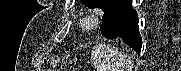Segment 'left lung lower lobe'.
<instances>
[{
	"label": "left lung lower lobe",
	"mask_w": 181,
	"mask_h": 71,
	"mask_svg": "<svg viewBox=\"0 0 181 71\" xmlns=\"http://www.w3.org/2000/svg\"><path fill=\"white\" fill-rule=\"evenodd\" d=\"M102 21L101 33L104 37L120 38L137 53L141 52L138 16L132 9L131 0H117L108 12L104 13Z\"/></svg>",
	"instance_id": "1"
}]
</instances>
